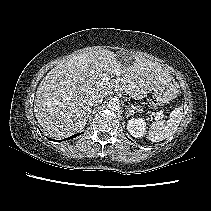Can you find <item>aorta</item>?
<instances>
[{
    "instance_id": "1",
    "label": "aorta",
    "mask_w": 211,
    "mask_h": 211,
    "mask_svg": "<svg viewBox=\"0 0 211 211\" xmlns=\"http://www.w3.org/2000/svg\"><path fill=\"white\" fill-rule=\"evenodd\" d=\"M108 108L112 111L114 110H117L119 109V106H120V103L117 99H111L109 102H108Z\"/></svg>"
}]
</instances>
